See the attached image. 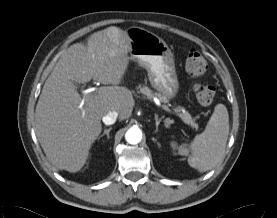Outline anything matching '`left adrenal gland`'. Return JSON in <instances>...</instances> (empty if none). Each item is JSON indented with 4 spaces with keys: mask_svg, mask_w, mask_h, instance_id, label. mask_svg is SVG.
Listing matches in <instances>:
<instances>
[{
    "mask_svg": "<svg viewBox=\"0 0 277 218\" xmlns=\"http://www.w3.org/2000/svg\"><path fill=\"white\" fill-rule=\"evenodd\" d=\"M162 119H163V117L158 118V115L155 114V121H156V130H155V132L158 131V126H159L160 122L162 121ZM168 122H171V121H170V119L167 118V119L165 120V124H167Z\"/></svg>",
    "mask_w": 277,
    "mask_h": 218,
    "instance_id": "left-adrenal-gland-1",
    "label": "left adrenal gland"
}]
</instances>
